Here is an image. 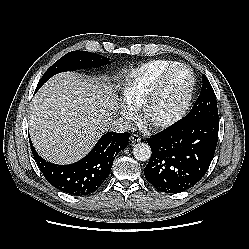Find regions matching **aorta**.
Instances as JSON below:
<instances>
[{"label": "aorta", "mask_w": 249, "mask_h": 249, "mask_svg": "<svg viewBox=\"0 0 249 249\" xmlns=\"http://www.w3.org/2000/svg\"><path fill=\"white\" fill-rule=\"evenodd\" d=\"M133 155L139 161H147L151 157V148L146 143H136L133 147Z\"/></svg>", "instance_id": "obj_1"}]
</instances>
